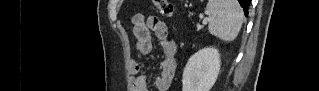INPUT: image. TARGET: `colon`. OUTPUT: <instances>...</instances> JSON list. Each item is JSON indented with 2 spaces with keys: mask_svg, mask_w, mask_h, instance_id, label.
I'll list each match as a JSON object with an SVG mask.
<instances>
[{
  "mask_svg": "<svg viewBox=\"0 0 319 91\" xmlns=\"http://www.w3.org/2000/svg\"><path fill=\"white\" fill-rule=\"evenodd\" d=\"M154 3L164 17L170 18L173 15L174 6L171 2L167 0H154Z\"/></svg>",
  "mask_w": 319,
  "mask_h": 91,
  "instance_id": "obj_1",
  "label": "colon"
}]
</instances>
